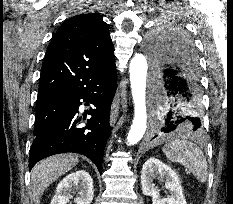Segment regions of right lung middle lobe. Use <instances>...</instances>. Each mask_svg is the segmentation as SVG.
<instances>
[{
	"label": "right lung middle lobe",
	"mask_w": 233,
	"mask_h": 204,
	"mask_svg": "<svg viewBox=\"0 0 233 204\" xmlns=\"http://www.w3.org/2000/svg\"><path fill=\"white\" fill-rule=\"evenodd\" d=\"M60 101L61 99L58 95L38 102L35 115V138L47 133L64 117V111L58 105Z\"/></svg>",
	"instance_id": "right-lung-middle-lobe-1"
}]
</instances>
